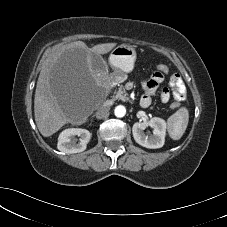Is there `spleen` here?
<instances>
[{"label":"spleen","mask_w":227,"mask_h":227,"mask_svg":"<svg viewBox=\"0 0 227 227\" xmlns=\"http://www.w3.org/2000/svg\"><path fill=\"white\" fill-rule=\"evenodd\" d=\"M189 112L182 107L168 118V133L173 140H179L187 128Z\"/></svg>","instance_id":"spleen-1"}]
</instances>
